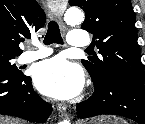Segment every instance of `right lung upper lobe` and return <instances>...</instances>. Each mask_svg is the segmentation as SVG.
Masks as SVG:
<instances>
[{"mask_svg": "<svg viewBox=\"0 0 145 124\" xmlns=\"http://www.w3.org/2000/svg\"><path fill=\"white\" fill-rule=\"evenodd\" d=\"M45 24L36 0H0V51L20 55L19 43Z\"/></svg>", "mask_w": 145, "mask_h": 124, "instance_id": "right-lung-upper-lobe-1", "label": "right lung upper lobe"}]
</instances>
